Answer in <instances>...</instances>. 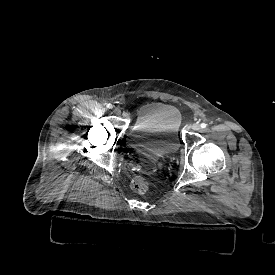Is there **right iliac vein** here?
Returning <instances> with one entry per match:
<instances>
[{"mask_svg": "<svg viewBox=\"0 0 275 275\" xmlns=\"http://www.w3.org/2000/svg\"><path fill=\"white\" fill-rule=\"evenodd\" d=\"M114 113H115L116 115H120V114H121V111H120L119 108H115Z\"/></svg>", "mask_w": 275, "mask_h": 275, "instance_id": "63e3f726", "label": "right iliac vein"}]
</instances>
